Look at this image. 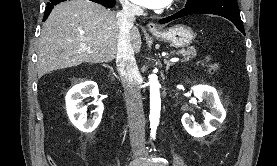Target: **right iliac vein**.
<instances>
[{"label": "right iliac vein", "mask_w": 277, "mask_h": 166, "mask_svg": "<svg viewBox=\"0 0 277 166\" xmlns=\"http://www.w3.org/2000/svg\"><path fill=\"white\" fill-rule=\"evenodd\" d=\"M130 166H137L136 163H131Z\"/></svg>", "instance_id": "right-iliac-vein-1"}]
</instances>
